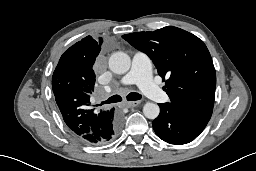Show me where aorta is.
<instances>
[{"label":"aorta","mask_w":256,"mask_h":171,"mask_svg":"<svg viewBox=\"0 0 256 171\" xmlns=\"http://www.w3.org/2000/svg\"><path fill=\"white\" fill-rule=\"evenodd\" d=\"M131 66V59L128 54L124 52H116L109 58V68L116 74L126 73ZM160 108L155 103L147 102L143 107V113L148 119H155L158 117Z\"/></svg>","instance_id":"762f6f07"}]
</instances>
